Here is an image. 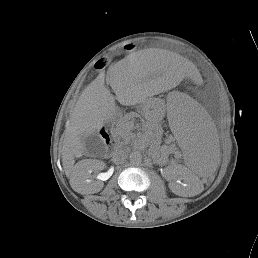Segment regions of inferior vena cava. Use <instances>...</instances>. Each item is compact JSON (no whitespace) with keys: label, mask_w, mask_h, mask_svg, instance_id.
<instances>
[{"label":"inferior vena cava","mask_w":258,"mask_h":258,"mask_svg":"<svg viewBox=\"0 0 258 258\" xmlns=\"http://www.w3.org/2000/svg\"><path fill=\"white\" fill-rule=\"evenodd\" d=\"M126 159V153L124 151H118L114 155V160L117 163H123Z\"/></svg>","instance_id":"602c4592"}]
</instances>
